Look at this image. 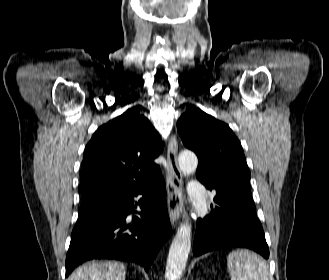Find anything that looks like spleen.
<instances>
[{
    "instance_id": "spleen-1",
    "label": "spleen",
    "mask_w": 329,
    "mask_h": 280,
    "mask_svg": "<svg viewBox=\"0 0 329 280\" xmlns=\"http://www.w3.org/2000/svg\"><path fill=\"white\" fill-rule=\"evenodd\" d=\"M231 280H268L266 264L248 250H237L227 257Z\"/></svg>"
}]
</instances>
